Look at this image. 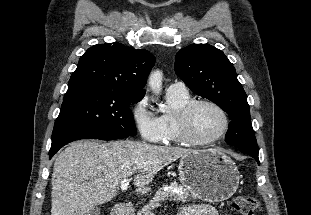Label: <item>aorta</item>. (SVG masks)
<instances>
[{
  "instance_id": "obj_1",
  "label": "aorta",
  "mask_w": 311,
  "mask_h": 215,
  "mask_svg": "<svg viewBox=\"0 0 311 215\" xmlns=\"http://www.w3.org/2000/svg\"><path fill=\"white\" fill-rule=\"evenodd\" d=\"M162 79H163V74L159 70L153 71L149 76V79H148L149 87L151 88L152 92L156 95H159L161 93ZM160 110L162 112H165L166 108L164 106H161Z\"/></svg>"
}]
</instances>
